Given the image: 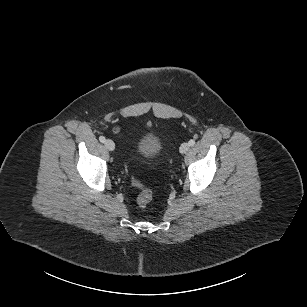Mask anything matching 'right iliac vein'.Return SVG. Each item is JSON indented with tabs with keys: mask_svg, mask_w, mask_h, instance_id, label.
Masks as SVG:
<instances>
[{
	"mask_svg": "<svg viewBox=\"0 0 307 307\" xmlns=\"http://www.w3.org/2000/svg\"><path fill=\"white\" fill-rule=\"evenodd\" d=\"M105 147L109 150V151H113L115 149V144L112 140L107 139L105 142Z\"/></svg>",
	"mask_w": 307,
	"mask_h": 307,
	"instance_id": "obj_1",
	"label": "right iliac vein"
}]
</instances>
